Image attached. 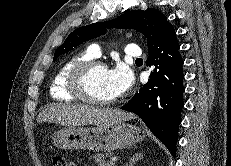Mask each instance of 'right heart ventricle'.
Instances as JSON below:
<instances>
[{
	"mask_svg": "<svg viewBox=\"0 0 231 166\" xmlns=\"http://www.w3.org/2000/svg\"><path fill=\"white\" fill-rule=\"evenodd\" d=\"M93 59H95V56L88 49L73 55L65 61L52 80L50 86V96L52 99L56 101H72L77 99L68 88L69 75L76 66Z\"/></svg>",
	"mask_w": 231,
	"mask_h": 166,
	"instance_id": "e07e8e85",
	"label": "right heart ventricle"
}]
</instances>
